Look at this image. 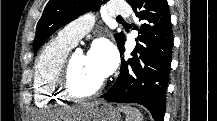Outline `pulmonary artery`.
<instances>
[{
	"label": "pulmonary artery",
	"mask_w": 217,
	"mask_h": 121,
	"mask_svg": "<svg viewBox=\"0 0 217 121\" xmlns=\"http://www.w3.org/2000/svg\"><path fill=\"white\" fill-rule=\"evenodd\" d=\"M107 11L112 17L128 16L130 8L126 5L110 4ZM94 25V16L86 14L66 25L60 32L59 37L75 45Z\"/></svg>",
	"instance_id": "e3ab8cb5"
}]
</instances>
